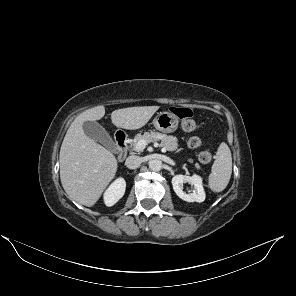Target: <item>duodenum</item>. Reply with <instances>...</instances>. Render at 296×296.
I'll return each mask as SVG.
<instances>
[{"label": "duodenum", "mask_w": 296, "mask_h": 296, "mask_svg": "<svg viewBox=\"0 0 296 296\" xmlns=\"http://www.w3.org/2000/svg\"><path fill=\"white\" fill-rule=\"evenodd\" d=\"M115 140L118 146V159L123 160L127 154L126 136L122 133H116Z\"/></svg>", "instance_id": "duodenum-1"}]
</instances>
